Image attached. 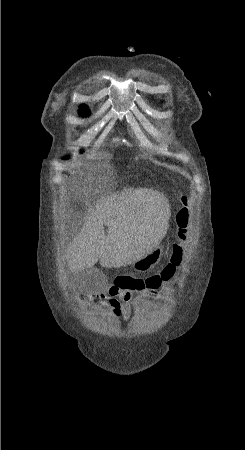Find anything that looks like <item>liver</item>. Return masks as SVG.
<instances>
[{"label":"liver","instance_id":"6515ba94","mask_svg":"<svg viewBox=\"0 0 245 450\" xmlns=\"http://www.w3.org/2000/svg\"><path fill=\"white\" fill-rule=\"evenodd\" d=\"M170 215L168 199L157 190L130 187L101 197L67 249L69 269H89L98 260L106 268L131 265L161 242Z\"/></svg>","mask_w":245,"mask_h":450}]
</instances>
